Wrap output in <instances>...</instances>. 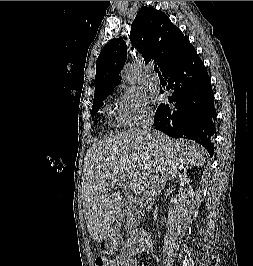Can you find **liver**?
<instances>
[{"instance_id":"liver-1","label":"liver","mask_w":253,"mask_h":266,"mask_svg":"<svg viewBox=\"0 0 253 266\" xmlns=\"http://www.w3.org/2000/svg\"><path fill=\"white\" fill-rule=\"evenodd\" d=\"M204 154L203 148L189 140L171 139L159 131L148 139L137 128L93 144L86 154L82 181L85 219L92 239H102L122 215L123 201L115 179L130 177L146 185L152 173L165 175L169 171L174 175L191 155L203 160Z\"/></svg>"}]
</instances>
